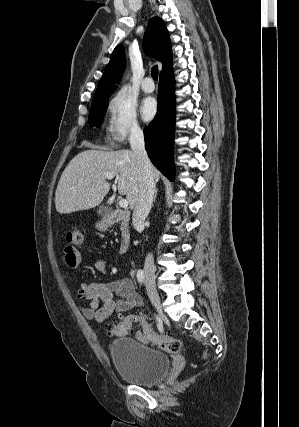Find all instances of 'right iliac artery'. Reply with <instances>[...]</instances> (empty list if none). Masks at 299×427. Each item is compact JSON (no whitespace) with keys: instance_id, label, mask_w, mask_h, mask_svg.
I'll use <instances>...</instances> for the list:
<instances>
[{"instance_id":"1","label":"right iliac artery","mask_w":299,"mask_h":427,"mask_svg":"<svg viewBox=\"0 0 299 427\" xmlns=\"http://www.w3.org/2000/svg\"><path fill=\"white\" fill-rule=\"evenodd\" d=\"M137 280H138V282L140 283V284H142L143 283V281H144V272H143V270H138L137 271Z\"/></svg>"}]
</instances>
